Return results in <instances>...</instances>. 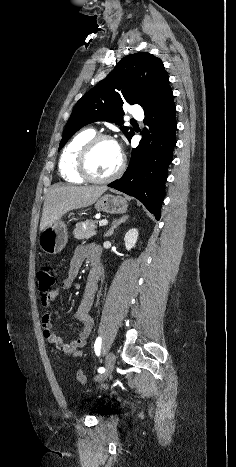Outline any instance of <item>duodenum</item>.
I'll list each match as a JSON object with an SVG mask.
<instances>
[{
	"mask_svg": "<svg viewBox=\"0 0 236 467\" xmlns=\"http://www.w3.org/2000/svg\"><path fill=\"white\" fill-rule=\"evenodd\" d=\"M98 277V270L96 268V266H91V269H90V272H89V278L92 280V281H95Z\"/></svg>",
	"mask_w": 236,
	"mask_h": 467,
	"instance_id": "410a0bca",
	"label": "duodenum"
}]
</instances>
